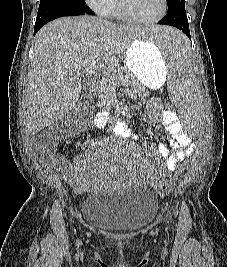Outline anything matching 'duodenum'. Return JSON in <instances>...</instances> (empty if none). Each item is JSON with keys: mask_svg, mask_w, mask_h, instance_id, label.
Here are the masks:
<instances>
[{"mask_svg": "<svg viewBox=\"0 0 227 267\" xmlns=\"http://www.w3.org/2000/svg\"><path fill=\"white\" fill-rule=\"evenodd\" d=\"M88 92H89L90 94H95V93L97 92V86H96V83H95V82H93V83H91V84L89 85V87H88Z\"/></svg>", "mask_w": 227, "mask_h": 267, "instance_id": "1", "label": "duodenum"}]
</instances>
